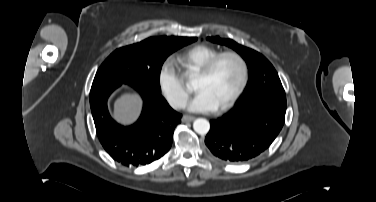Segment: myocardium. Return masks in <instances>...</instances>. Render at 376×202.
<instances>
[{"mask_svg":"<svg viewBox=\"0 0 376 202\" xmlns=\"http://www.w3.org/2000/svg\"><path fill=\"white\" fill-rule=\"evenodd\" d=\"M225 57H231L237 61L241 70V79L237 89L232 94V96L223 105L217 107V111L219 112L226 111L234 105V103L238 100V98L245 90L249 79L248 63L241 54L235 51H224L218 53L202 66V68L197 72V76L206 78L211 75L217 63Z\"/></svg>","mask_w":376,"mask_h":202,"instance_id":"myocardium-1","label":"myocardium"}]
</instances>
